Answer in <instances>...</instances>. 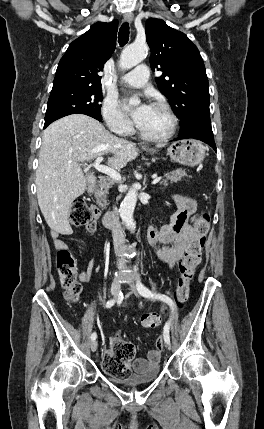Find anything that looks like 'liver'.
Listing matches in <instances>:
<instances>
[{"label":"liver","mask_w":264,"mask_h":429,"mask_svg":"<svg viewBox=\"0 0 264 429\" xmlns=\"http://www.w3.org/2000/svg\"><path fill=\"white\" fill-rule=\"evenodd\" d=\"M162 147L163 144L157 145ZM107 153L113 154L108 165L121 169L138 156L139 150L84 114L63 117L43 132L36 171L37 199L48 226L56 233L73 232L68 221L69 209L84 193L87 183L80 163Z\"/></svg>","instance_id":"1"}]
</instances>
